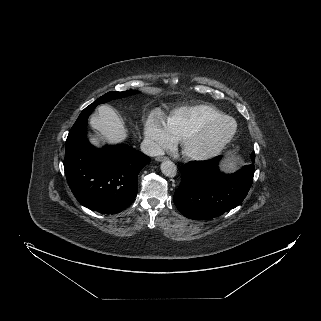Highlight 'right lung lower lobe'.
<instances>
[{
    "label": "right lung lower lobe",
    "instance_id": "98d812e1",
    "mask_svg": "<svg viewBox=\"0 0 321 321\" xmlns=\"http://www.w3.org/2000/svg\"><path fill=\"white\" fill-rule=\"evenodd\" d=\"M92 111L85 108L69 131L64 170L71 191L83 206L116 214L135 199L138 174L150 158L124 144L93 147L85 136Z\"/></svg>",
    "mask_w": 321,
    "mask_h": 321
}]
</instances>
